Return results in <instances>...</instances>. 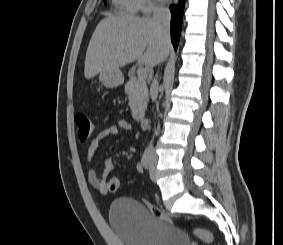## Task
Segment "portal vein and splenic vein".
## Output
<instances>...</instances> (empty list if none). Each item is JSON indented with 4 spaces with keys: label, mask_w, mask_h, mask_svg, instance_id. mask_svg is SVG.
<instances>
[{
    "label": "portal vein and splenic vein",
    "mask_w": 283,
    "mask_h": 245,
    "mask_svg": "<svg viewBox=\"0 0 283 245\" xmlns=\"http://www.w3.org/2000/svg\"><path fill=\"white\" fill-rule=\"evenodd\" d=\"M137 74L139 78H145L147 77V70L143 67H139L137 70Z\"/></svg>",
    "instance_id": "obj_1"
}]
</instances>
